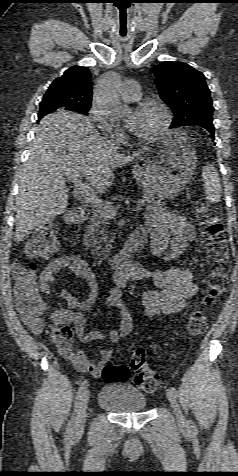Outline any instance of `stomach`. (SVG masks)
<instances>
[{
  "label": "stomach",
  "instance_id": "stomach-1",
  "mask_svg": "<svg viewBox=\"0 0 238 476\" xmlns=\"http://www.w3.org/2000/svg\"><path fill=\"white\" fill-rule=\"evenodd\" d=\"M196 165L190 141L183 133L172 131L145 148L133 166V175L150 197L174 198L184 190Z\"/></svg>",
  "mask_w": 238,
  "mask_h": 476
}]
</instances>
